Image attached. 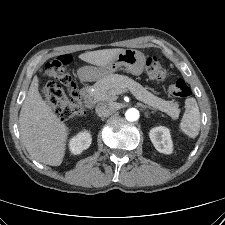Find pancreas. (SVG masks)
I'll return each instance as SVG.
<instances>
[{"mask_svg": "<svg viewBox=\"0 0 225 225\" xmlns=\"http://www.w3.org/2000/svg\"><path fill=\"white\" fill-rule=\"evenodd\" d=\"M88 96L96 101L116 100L117 95L130 91L136 99L168 114L172 119L179 117L178 104L173 101H165L149 91L133 79L119 74H110L98 80L93 86L86 88Z\"/></svg>", "mask_w": 225, "mask_h": 225, "instance_id": "obj_1", "label": "pancreas"}]
</instances>
